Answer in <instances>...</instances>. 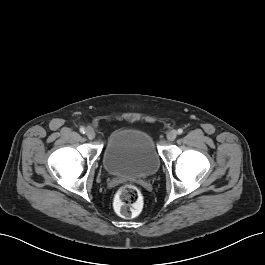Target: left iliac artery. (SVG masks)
<instances>
[{
  "instance_id": "1",
  "label": "left iliac artery",
  "mask_w": 265,
  "mask_h": 265,
  "mask_svg": "<svg viewBox=\"0 0 265 265\" xmlns=\"http://www.w3.org/2000/svg\"><path fill=\"white\" fill-rule=\"evenodd\" d=\"M178 134H182L183 133V130L180 128V129H178Z\"/></svg>"
}]
</instances>
